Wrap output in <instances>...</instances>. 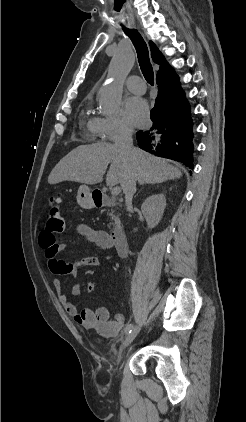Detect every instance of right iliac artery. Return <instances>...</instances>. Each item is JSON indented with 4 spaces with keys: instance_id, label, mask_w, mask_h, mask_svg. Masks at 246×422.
Returning a JSON list of instances; mask_svg holds the SVG:
<instances>
[{
    "instance_id": "1",
    "label": "right iliac artery",
    "mask_w": 246,
    "mask_h": 422,
    "mask_svg": "<svg viewBox=\"0 0 246 422\" xmlns=\"http://www.w3.org/2000/svg\"><path fill=\"white\" fill-rule=\"evenodd\" d=\"M132 327H133V325H132V324H128V325L126 326V328H125V332H126V334H128V333H130V332H131Z\"/></svg>"
}]
</instances>
